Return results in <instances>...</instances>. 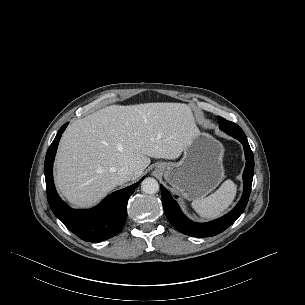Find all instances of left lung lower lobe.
I'll return each instance as SVG.
<instances>
[{
  "label": "left lung lower lobe",
  "instance_id": "left-lung-lower-lobe-1",
  "mask_svg": "<svg viewBox=\"0 0 305 305\" xmlns=\"http://www.w3.org/2000/svg\"><path fill=\"white\" fill-rule=\"evenodd\" d=\"M233 137L238 139L243 144L246 157V166L243 172L244 190L240 202L237 204L236 208L232 212L226 214L218 220H214L208 223H195L190 221L182 213L176 201L172 199L169 192L165 189V187L161 185L164 212L169 221L178 231L194 237L215 236L223 232L229 226H231L245 209L248 202L249 194L251 192L254 173V156L246 136Z\"/></svg>",
  "mask_w": 305,
  "mask_h": 305
}]
</instances>
